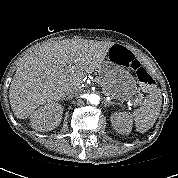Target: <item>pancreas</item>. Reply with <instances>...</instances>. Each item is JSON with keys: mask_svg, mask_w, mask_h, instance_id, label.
I'll use <instances>...</instances> for the list:
<instances>
[{"mask_svg": "<svg viewBox=\"0 0 178 178\" xmlns=\"http://www.w3.org/2000/svg\"><path fill=\"white\" fill-rule=\"evenodd\" d=\"M96 82L101 85V87L103 88V90L105 91V93L109 94V93L107 92L105 86L103 85V83H102L98 78H96ZM141 99H142V97L139 96V98H137V100H136V103L140 102Z\"/></svg>", "mask_w": 178, "mask_h": 178, "instance_id": "obj_1", "label": "pancreas"}]
</instances>
